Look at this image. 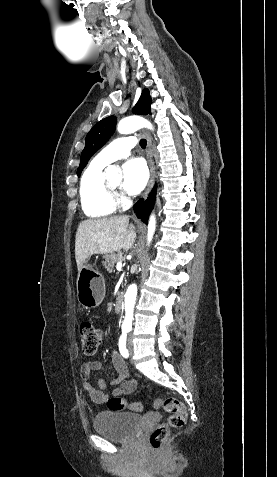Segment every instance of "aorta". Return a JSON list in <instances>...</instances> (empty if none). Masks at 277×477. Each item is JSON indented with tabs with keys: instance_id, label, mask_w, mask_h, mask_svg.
Instances as JSON below:
<instances>
[{
	"instance_id": "obj_1",
	"label": "aorta",
	"mask_w": 277,
	"mask_h": 477,
	"mask_svg": "<svg viewBox=\"0 0 277 477\" xmlns=\"http://www.w3.org/2000/svg\"><path fill=\"white\" fill-rule=\"evenodd\" d=\"M147 127L152 129L150 122L139 116H131L122 119L117 126V130L121 134H129L139 130L140 128ZM106 174L109 176L115 177L117 180H121V176L118 173V169L115 166H108L106 169ZM156 228V219L154 215L150 216L148 224V242L153 238ZM137 295V286L132 284L128 287V290L125 294V317L122 323V328H131L133 321V313L135 300Z\"/></svg>"
}]
</instances>
